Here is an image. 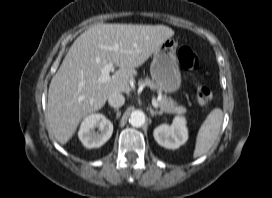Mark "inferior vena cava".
I'll use <instances>...</instances> for the list:
<instances>
[{
	"instance_id": "602c4592",
	"label": "inferior vena cava",
	"mask_w": 272,
	"mask_h": 198,
	"mask_svg": "<svg viewBox=\"0 0 272 198\" xmlns=\"http://www.w3.org/2000/svg\"><path fill=\"white\" fill-rule=\"evenodd\" d=\"M125 98L121 93H113L108 97V103L111 107L119 108L124 105Z\"/></svg>"
}]
</instances>
